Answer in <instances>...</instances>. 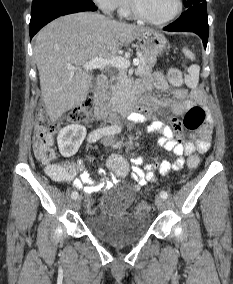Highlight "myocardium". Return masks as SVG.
<instances>
[{"mask_svg": "<svg viewBox=\"0 0 233 284\" xmlns=\"http://www.w3.org/2000/svg\"><path fill=\"white\" fill-rule=\"evenodd\" d=\"M128 3H129L130 12L134 17H136L137 19H139V20H141L145 23L152 24V25L168 24V23L172 22L173 20H175L182 13V10H183V1L182 0H176V8H175L174 12L164 19L157 20V19H153V18L147 16L145 13H143V11L139 7L137 0H128Z\"/></svg>", "mask_w": 233, "mask_h": 284, "instance_id": "1", "label": "myocardium"}]
</instances>
